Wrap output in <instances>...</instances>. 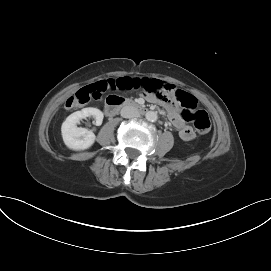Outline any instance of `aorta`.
Instances as JSON below:
<instances>
[{
    "mask_svg": "<svg viewBox=\"0 0 271 271\" xmlns=\"http://www.w3.org/2000/svg\"><path fill=\"white\" fill-rule=\"evenodd\" d=\"M146 119L150 122H155L158 119V115L154 111H148L145 115Z\"/></svg>",
    "mask_w": 271,
    "mask_h": 271,
    "instance_id": "aorta-1",
    "label": "aorta"
}]
</instances>
